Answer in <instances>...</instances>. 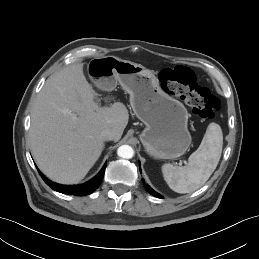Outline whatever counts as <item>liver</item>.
<instances>
[{
    "label": "liver",
    "instance_id": "1",
    "mask_svg": "<svg viewBox=\"0 0 259 259\" xmlns=\"http://www.w3.org/2000/svg\"><path fill=\"white\" fill-rule=\"evenodd\" d=\"M86 80L83 64L51 75L39 92L31 113L29 139L39 169L62 184L80 182L100 157L102 131L112 129L118 141L128 124L125 105L99 107Z\"/></svg>",
    "mask_w": 259,
    "mask_h": 259
}]
</instances>
